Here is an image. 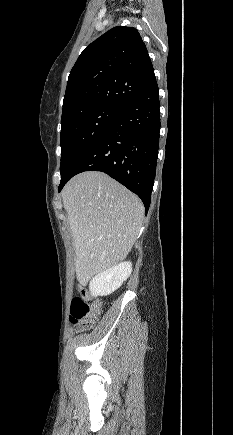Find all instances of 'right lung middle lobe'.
<instances>
[{"label": "right lung middle lobe", "instance_id": "right-lung-middle-lobe-1", "mask_svg": "<svg viewBox=\"0 0 233 435\" xmlns=\"http://www.w3.org/2000/svg\"><path fill=\"white\" fill-rule=\"evenodd\" d=\"M120 110L98 107L61 122V179L106 130Z\"/></svg>", "mask_w": 233, "mask_h": 435}]
</instances>
